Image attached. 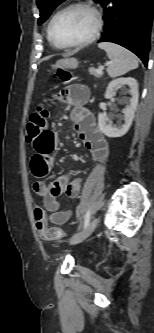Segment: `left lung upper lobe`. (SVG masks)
<instances>
[{
  "mask_svg": "<svg viewBox=\"0 0 154 333\" xmlns=\"http://www.w3.org/2000/svg\"><path fill=\"white\" fill-rule=\"evenodd\" d=\"M65 0H37V6L40 10V17L38 19V25H41L49 17L51 12ZM96 2H101L102 0H95Z\"/></svg>",
  "mask_w": 154,
  "mask_h": 333,
  "instance_id": "5c2ea615",
  "label": "left lung upper lobe"
}]
</instances>
